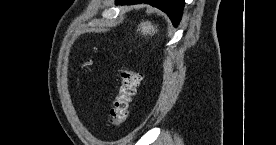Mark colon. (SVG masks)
I'll return each mask as SVG.
<instances>
[{
	"mask_svg": "<svg viewBox=\"0 0 276 145\" xmlns=\"http://www.w3.org/2000/svg\"><path fill=\"white\" fill-rule=\"evenodd\" d=\"M139 82V73L127 68L121 69L120 84L108 117L109 126L118 127L126 121L130 103L136 95Z\"/></svg>",
	"mask_w": 276,
	"mask_h": 145,
	"instance_id": "colon-1",
	"label": "colon"
}]
</instances>
